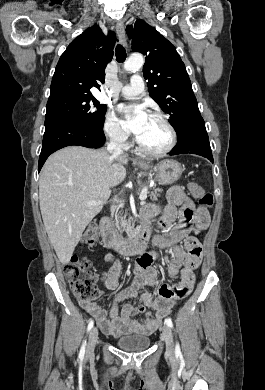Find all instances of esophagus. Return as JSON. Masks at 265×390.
Wrapping results in <instances>:
<instances>
[{
    "label": "esophagus",
    "instance_id": "1",
    "mask_svg": "<svg viewBox=\"0 0 265 390\" xmlns=\"http://www.w3.org/2000/svg\"><path fill=\"white\" fill-rule=\"evenodd\" d=\"M116 32H117V36H118L119 42L123 46L126 47L127 46V41H126V36H125V31H124V24H123L122 21H119L117 23Z\"/></svg>",
    "mask_w": 265,
    "mask_h": 390
}]
</instances>
